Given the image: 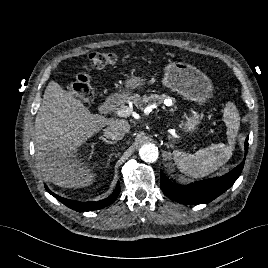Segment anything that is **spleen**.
<instances>
[{"instance_id": "3e777b00", "label": "spleen", "mask_w": 268, "mask_h": 268, "mask_svg": "<svg viewBox=\"0 0 268 268\" xmlns=\"http://www.w3.org/2000/svg\"><path fill=\"white\" fill-rule=\"evenodd\" d=\"M223 113V121L227 126L228 145L223 143L212 144L194 154L179 150L173 151L177 167L187 176L193 178L205 177L231 158L236 143L235 138L239 130L240 117L236 106L232 102L226 104Z\"/></svg>"}]
</instances>
